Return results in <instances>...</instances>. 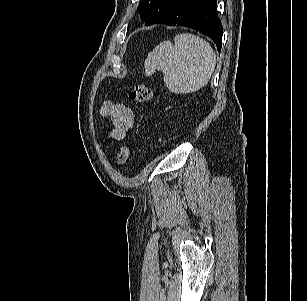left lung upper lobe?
I'll list each match as a JSON object with an SVG mask.
<instances>
[{
	"label": "left lung upper lobe",
	"instance_id": "1",
	"mask_svg": "<svg viewBox=\"0 0 307 301\" xmlns=\"http://www.w3.org/2000/svg\"><path fill=\"white\" fill-rule=\"evenodd\" d=\"M179 0H141L138 6L145 25L156 23L166 15Z\"/></svg>",
	"mask_w": 307,
	"mask_h": 301
}]
</instances>
